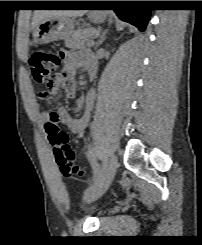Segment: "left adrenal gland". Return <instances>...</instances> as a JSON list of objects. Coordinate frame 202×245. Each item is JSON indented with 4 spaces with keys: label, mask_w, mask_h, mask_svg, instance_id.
<instances>
[{
    "label": "left adrenal gland",
    "mask_w": 202,
    "mask_h": 245,
    "mask_svg": "<svg viewBox=\"0 0 202 245\" xmlns=\"http://www.w3.org/2000/svg\"><path fill=\"white\" fill-rule=\"evenodd\" d=\"M106 33H107V30L101 33L96 47H99L103 43V41L106 39Z\"/></svg>",
    "instance_id": "1"
}]
</instances>
